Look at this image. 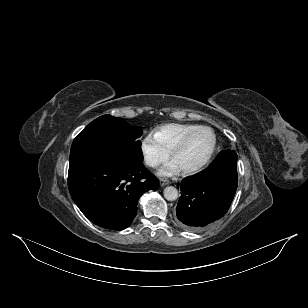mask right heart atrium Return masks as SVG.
<instances>
[{
    "instance_id": "1",
    "label": "right heart atrium",
    "mask_w": 308,
    "mask_h": 308,
    "mask_svg": "<svg viewBox=\"0 0 308 308\" xmlns=\"http://www.w3.org/2000/svg\"><path fill=\"white\" fill-rule=\"evenodd\" d=\"M139 150L144 163L150 168L158 167L165 162L170 155L151 134L144 136L140 140Z\"/></svg>"
}]
</instances>
